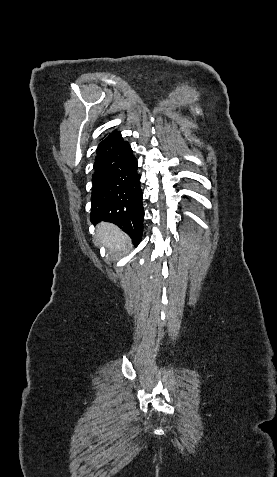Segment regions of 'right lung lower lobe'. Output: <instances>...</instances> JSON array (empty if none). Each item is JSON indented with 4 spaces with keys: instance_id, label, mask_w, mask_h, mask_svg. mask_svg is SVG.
Masks as SVG:
<instances>
[{
    "instance_id": "98d812e1",
    "label": "right lung lower lobe",
    "mask_w": 277,
    "mask_h": 477,
    "mask_svg": "<svg viewBox=\"0 0 277 477\" xmlns=\"http://www.w3.org/2000/svg\"><path fill=\"white\" fill-rule=\"evenodd\" d=\"M96 154L90 220L92 223H114L138 244L143 231L144 210L137 159L120 131L104 138Z\"/></svg>"
}]
</instances>
